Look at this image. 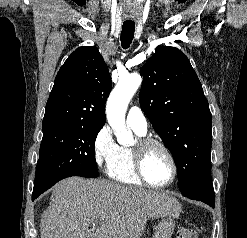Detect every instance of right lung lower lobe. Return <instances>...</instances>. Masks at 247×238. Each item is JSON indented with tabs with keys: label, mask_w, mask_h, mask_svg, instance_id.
Masks as SVG:
<instances>
[{
	"label": "right lung lower lobe",
	"mask_w": 247,
	"mask_h": 238,
	"mask_svg": "<svg viewBox=\"0 0 247 238\" xmlns=\"http://www.w3.org/2000/svg\"><path fill=\"white\" fill-rule=\"evenodd\" d=\"M37 197L36 196H32V200H35Z\"/></svg>",
	"instance_id": "98d812e1"
}]
</instances>
